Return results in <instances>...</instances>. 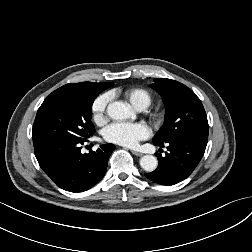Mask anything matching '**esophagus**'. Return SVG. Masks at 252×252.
Returning a JSON list of instances; mask_svg holds the SVG:
<instances>
[{"label":"esophagus","mask_w":252,"mask_h":252,"mask_svg":"<svg viewBox=\"0 0 252 252\" xmlns=\"http://www.w3.org/2000/svg\"><path fill=\"white\" fill-rule=\"evenodd\" d=\"M132 154L136 155V156H142L143 154L138 152V151H135V150H131Z\"/></svg>","instance_id":"esophagus-1"}]
</instances>
